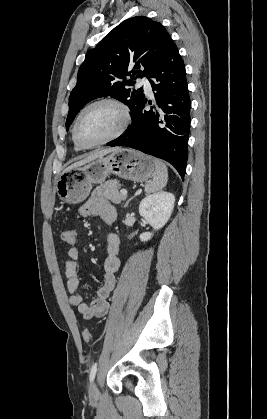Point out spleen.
<instances>
[{"instance_id":"obj_1","label":"spleen","mask_w":267,"mask_h":419,"mask_svg":"<svg viewBox=\"0 0 267 419\" xmlns=\"http://www.w3.org/2000/svg\"><path fill=\"white\" fill-rule=\"evenodd\" d=\"M155 172L153 180L145 186L146 193H155L161 191L168 181V169L166 165L158 159H154Z\"/></svg>"}]
</instances>
